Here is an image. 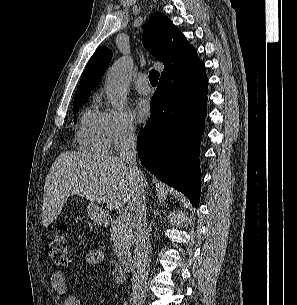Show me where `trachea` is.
I'll return each instance as SVG.
<instances>
[{
  "label": "trachea",
  "mask_w": 297,
  "mask_h": 305,
  "mask_svg": "<svg viewBox=\"0 0 297 305\" xmlns=\"http://www.w3.org/2000/svg\"><path fill=\"white\" fill-rule=\"evenodd\" d=\"M158 79H159V72H157L154 69L151 70L149 73V81H150L151 85H157Z\"/></svg>",
  "instance_id": "1"
}]
</instances>
